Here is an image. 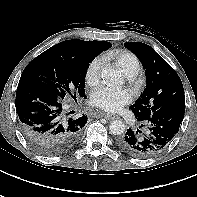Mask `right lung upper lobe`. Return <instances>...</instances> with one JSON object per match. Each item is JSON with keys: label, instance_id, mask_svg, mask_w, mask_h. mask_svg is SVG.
I'll return each instance as SVG.
<instances>
[{"label": "right lung upper lobe", "instance_id": "cb5924a9", "mask_svg": "<svg viewBox=\"0 0 197 197\" xmlns=\"http://www.w3.org/2000/svg\"><path fill=\"white\" fill-rule=\"evenodd\" d=\"M109 43L107 41H83L79 39H72L60 42L53 46L54 49L60 51L61 54L75 58L79 56L86 48L91 46H98Z\"/></svg>", "mask_w": 197, "mask_h": 197}]
</instances>
